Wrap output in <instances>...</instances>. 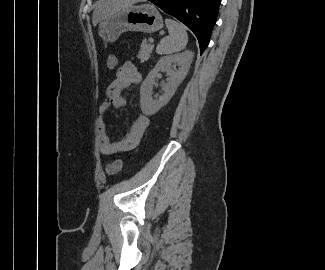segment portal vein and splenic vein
<instances>
[{
	"label": "portal vein and splenic vein",
	"instance_id": "18ae733b",
	"mask_svg": "<svg viewBox=\"0 0 325 270\" xmlns=\"http://www.w3.org/2000/svg\"><path fill=\"white\" fill-rule=\"evenodd\" d=\"M154 40L153 39H150V42H153Z\"/></svg>",
	"mask_w": 325,
	"mask_h": 270
}]
</instances>
